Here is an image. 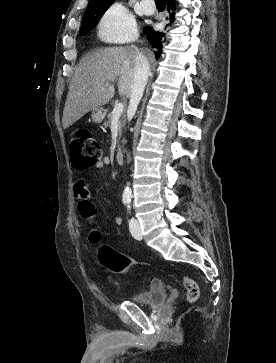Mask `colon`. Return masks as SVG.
<instances>
[{"label":"colon","mask_w":276,"mask_h":363,"mask_svg":"<svg viewBox=\"0 0 276 363\" xmlns=\"http://www.w3.org/2000/svg\"><path fill=\"white\" fill-rule=\"evenodd\" d=\"M70 153L74 165L79 169L88 168L101 159V147L98 141L86 129H80L73 133L70 143ZM89 241L92 244H98L100 241V234L98 231H92L89 236ZM98 262L105 270L112 274L124 271L134 264H139L121 253L117 252L109 245L102 244L99 246L96 254ZM151 284H157L153 280ZM183 286L186 291V300L192 303L198 299L199 288L197 283L188 276L183 278Z\"/></svg>","instance_id":"5ec220e1"}]
</instances>
